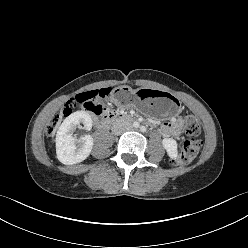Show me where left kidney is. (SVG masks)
I'll return each mask as SVG.
<instances>
[{"label":"left kidney","mask_w":248,"mask_h":248,"mask_svg":"<svg viewBox=\"0 0 248 248\" xmlns=\"http://www.w3.org/2000/svg\"><path fill=\"white\" fill-rule=\"evenodd\" d=\"M162 145L167 151L169 157L176 159L178 156L177 142L172 138H164L162 140Z\"/></svg>","instance_id":"obj_1"}]
</instances>
